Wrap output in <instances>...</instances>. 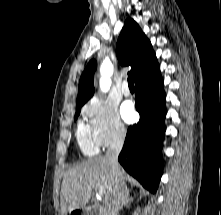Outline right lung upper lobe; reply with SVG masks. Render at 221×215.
I'll use <instances>...</instances> for the list:
<instances>
[{
	"mask_svg": "<svg viewBox=\"0 0 221 215\" xmlns=\"http://www.w3.org/2000/svg\"><path fill=\"white\" fill-rule=\"evenodd\" d=\"M116 54L122 66H132L129 74L134 76L135 83L160 70L150 41L132 18L125 21L117 41ZM96 67V61L91 60L82 73L79 81L77 105H84L93 96V76Z\"/></svg>",
	"mask_w": 221,
	"mask_h": 215,
	"instance_id": "obj_1",
	"label": "right lung upper lobe"
}]
</instances>
